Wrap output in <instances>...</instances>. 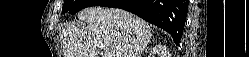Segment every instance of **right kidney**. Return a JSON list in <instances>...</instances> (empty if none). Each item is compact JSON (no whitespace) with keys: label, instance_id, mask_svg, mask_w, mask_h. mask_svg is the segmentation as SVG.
<instances>
[{"label":"right kidney","instance_id":"right-kidney-1","mask_svg":"<svg viewBox=\"0 0 249 57\" xmlns=\"http://www.w3.org/2000/svg\"><path fill=\"white\" fill-rule=\"evenodd\" d=\"M161 50L163 51V52H167V50H166V48L165 47H161Z\"/></svg>","mask_w":249,"mask_h":57}]
</instances>
